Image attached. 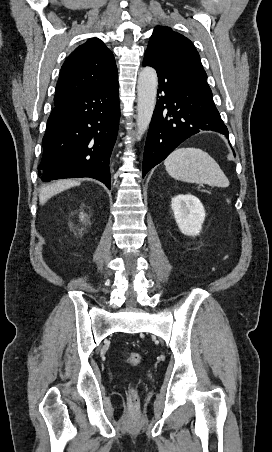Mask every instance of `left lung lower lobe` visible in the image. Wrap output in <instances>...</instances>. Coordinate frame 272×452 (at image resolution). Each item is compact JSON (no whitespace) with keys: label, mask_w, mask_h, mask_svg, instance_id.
I'll use <instances>...</instances> for the list:
<instances>
[{"label":"left lung lower lobe","mask_w":272,"mask_h":452,"mask_svg":"<svg viewBox=\"0 0 272 452\" xmlns=\"http://www.w3.org/2000/svg\"><path fill=\"white\" fill-rule=\"evenodd\" d=\"M158 75V101L150 123L143 157V177L180 143L203 130L228 138V130L215 107L206 80L190 71L145 54L143 66Z\"/></svg>","instance_id":"obj_1"}]
</instances>
